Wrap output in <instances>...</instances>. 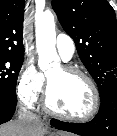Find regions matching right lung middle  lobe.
Listing matches in <instances>:
<instances>
[{
	"label": "right lung middle lobe",
	"instance_id": "dd1d6c3e",
	"mask_svg": "<svg viewBox=\"0 0 117 136\" xmlns=\"http://www.w3.org/2000/svg\"><path fill=\"white\" fill-rule=\"evenodd\" d=\"M23 57L0 56V92L16 93Z\"/></svg>",
	"mask_w": 117,
	"mask_h": 136
}]
</instances>
